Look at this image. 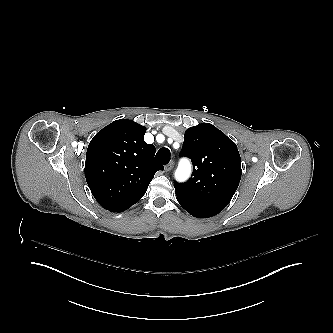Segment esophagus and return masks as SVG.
<instances>
[{"instance_id": "1", "label": "esophagus", "mask_w": 333, "mask_h": 333, "mask_svg": "<svg viewBox=\"0 0 333 333\" xmlns=\"http://www.w3.org/2000/svg\"><path fill=\"white\" fill-rule=\"evenodd\" d=\"M173 165H174L173 161L169 162V164H167L165 167V171H170L173 168Z\"/></svg>"}]
</instances>
